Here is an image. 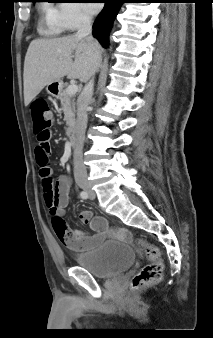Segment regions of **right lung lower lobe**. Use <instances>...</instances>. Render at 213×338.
<instances>
[{"instance_id":"1","label":"right lung lower lobe","mask_w":213,"mask_h":338,"mask_svg":"<svg viewBox=\"0 0 213 338\" xmlns=\"http://www.w3.org/2000/svg\"><path fill=\"white\" fill-rule=\"evenodd\" d=\"M124 0H105L104 9L93 24V35L99 40L103 47H107L108 35L112 28L113 21Z\"/></svg>"}]
</instances>
